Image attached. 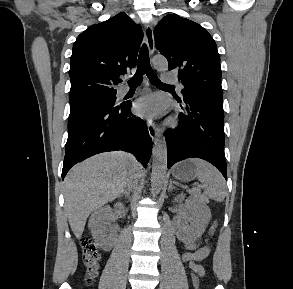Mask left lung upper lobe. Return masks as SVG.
<instances>
[{
	"instance_id": "5c2ea615",
	"label": "left lung upper lobe",
	"mask_w": 293,
	"mask_h": 289,
	"mask_svg": "<svg viewBox=\"0 0 293 289\" xmlns=\"http://www.w3.org/2000/svg\"><path fill=\"white\" fill-rule=\"evenodd\" d=\"M156 48L177 69L182 94H206L223 99L220 56L211 35L199 24L167 15L154 29Z\"/></svg>"
}]
</instances>
